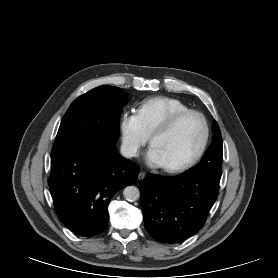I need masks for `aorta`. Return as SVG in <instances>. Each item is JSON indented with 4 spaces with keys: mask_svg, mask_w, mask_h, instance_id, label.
Here are the masks:
<instances>
[{
    "mask_svg": "<svg viewBox=\"0 0 278 278\" xmlns=\"http://www.w3.org/2000/svg\"><path fill=\"white\" fill-rule=\"evenodd\" d=\"M123 195L127 201L134 202L140 198V191L135 186H127L123 191Z\"/></svg>",
    "mask_w": 278,
    "mask_h": 278,
    "instance_id": "aorta-1",
    "label": "aorta"
}]
</instances>
